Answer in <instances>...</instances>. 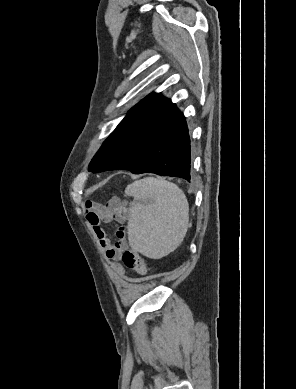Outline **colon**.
Masks as SVG:
<instances>
[{"instance_id": "obj_1", "label": "colon", "mask_w": 296, "mask_h": 389, "mask_svg": "<svg viewBox=\"0 0 296 389\" xmlns=\"http://www.w3.org/2000/svg\"><path fill=\"white\" fill-rule=\"evenodd\" d=\"M124 265L135 271L141 276H146L149 272V267L144 262L141 255L135 250H126L122 255Z\"/></svg>"}]
</instances>
